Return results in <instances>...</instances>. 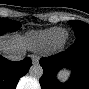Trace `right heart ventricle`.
I'll list each match as a JSON object with an SVG mask.
<instances>
[{
  "mask_svg": "<svg viewBox=\"0 0 89 89\" xmlns=\"http://www.w3.org/2000/svg\"><path fill=\"white\" fill-rule=\"evenodd\" d=\"M65 30L53 27L41 31H34L28 35L29 46L32 49L51 48L63 36Z\"/></svg>",
  "mask_w": 89,
  "mask_h": 89,
  "instance_id": "right-heart-ventricle-1",
  "label": "right heart ventricle"
}]
</instances>
